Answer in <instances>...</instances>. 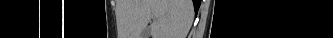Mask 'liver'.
I'll return each mask as SVG.
<instances>
[{"label": "liver", "instance_id": "6515ba94", "mask_svg": "<svg viewBox=\"0 0 333 38\" xmlns=\"http://www.w3.org/2000/svg\"><path fill=\"white\" fill-rule=\"evenodd\" d=\"M137 36L147 27L151 18L152 38H186L192 24L191 0H138Z\"/></svg>", "mask_w": 333, "mask_h": 38}]
</instances>
